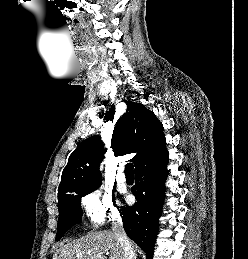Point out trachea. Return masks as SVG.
<instances>
[{
    "label": "trachea",
    "instance_id": "trachea-1",
    "mask_svg": "<svg viewBox=\"0 0 248 259\" xmlns=\"http://www.w3.org/2000/svg\"><path fill=\"white\" fill-rule=\"evenodd\" d=\"M125 174L126 175H133L134 171H133V164L132 163H128L125 166Z\"/></svg>",
    "mask_w": 248,
    "mask_h": 259
}]
</instances>
